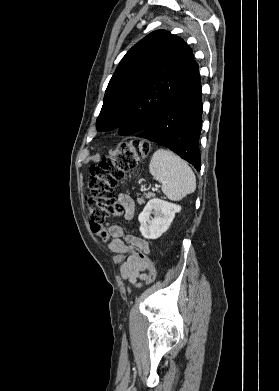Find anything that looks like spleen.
<instances>
[{
  "label": "spleen",
  "mask_w": 279,
  "mask_h": 391,
  "mask_svg": "<svg viewBox=\"0 0 279 391\" xmlns=\"http://www.w3.org/2000/svg\"><path fill=\"white\" fill-rule=\"evenodd\" d=\"M149 171L161 182L163 193L168 199L179 201L196 189V177L187 162L166 149L154 152Z\"/></svg>",
  "instance_id": "1"
}]
</instances>
